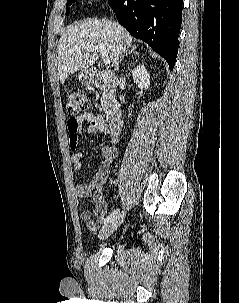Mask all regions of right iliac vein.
<instances>
[{
  "mask_svg": "<svg viewBox=\"0 0 239 303\" xmlns=\"http://www.w3.org/2000/svg\"><path fill=\"white\" fill-rule=\"evenodd\" d=\"M125 217V213L122 212L118 216H116L113 220L109 223L105 224L99 231V238L106 239L108 238L123 222Z\"/></svg>",
  "mask_w": 239,
  "mask_h": 303,
  "instance_id": "right-iliac-vein-1",
  "label": "right iliac vein"
}]
</instances>
